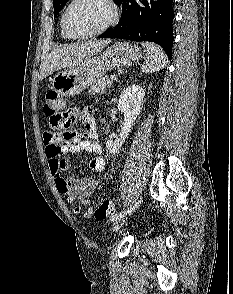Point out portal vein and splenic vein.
Wrapping results in <instances>:
<instances>
[{"instance_id": "portal-vein-and-splenic-vein-1", "label": "portal vein and splenic vein", "mask_w": 233, "mask_h": 294, "mask_svg": "<svg viewBox=\"0 0 233 294\" xmlns=\"http://www.w3.org/2000/svg\"><path fill=\"white\" fill-rule=\"evenodd\" d=\"M110 79L111 80H117L116 76H111Z\"/></svg>"}]
</instances>
